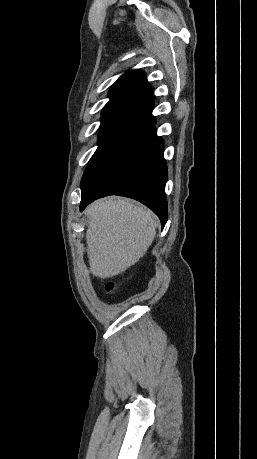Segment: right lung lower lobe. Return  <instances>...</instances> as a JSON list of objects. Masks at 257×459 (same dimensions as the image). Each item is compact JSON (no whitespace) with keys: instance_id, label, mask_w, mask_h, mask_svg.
Listing matches in <instances>:
<instances>
[{"instance_id":"right-lung-lower-lobe-1","label":"right lung lower lobe","mask_w":257,"mask_h":459,"mask_svg":"<svg viewBox=\"0 0 257 459\" xmlns=\"http://www.w3.org/2000/svg\"><path fill=\"white\" fill-rule=\"evenodd\" d=\"M153 107L131 116L106 149L86 168L82 181V211L95 199L120 195L145 204L167 221L164 142L156 135Z\"/></svg>"}]
</instances>
